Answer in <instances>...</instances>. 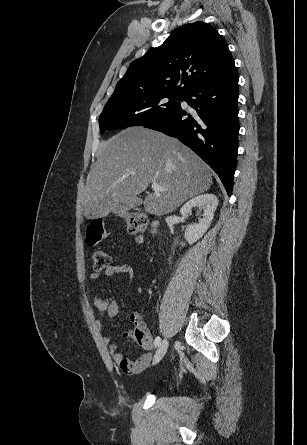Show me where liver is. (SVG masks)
Returning <instances> with one entry per match:
<instances>
[{
    "mask_svg": "<svg viewBox=\"0 0 307 445\" xmlns=\"http://www.w3.org/2000/svg\"><path fill=\"white\" fill-rule=\"evenodd\" d=\"M97 160L88 172L84 216L124 214L128 194H141L150 182L167 190L148 192L145 212L168 214L211 186L210 166L178 138L144 126H129L101 140Z\"/></svg>",
    "mask_w": 307,
    "mask_h": 445,
    "instance_id": "obj_1",
    "label": "liver"
}]
</instances>
